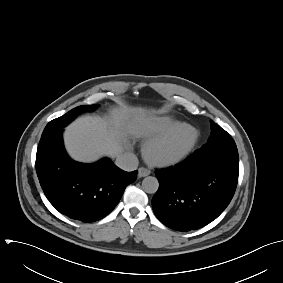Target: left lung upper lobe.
Instances as JSON below:
<instances>
[{
	"label": "left lung upper lobe",
	"mask_w": 283,
	"mask_h": 283,
	"mask_svg": "<svg viewBox=\"0 0 283 283\" xmlns=\"http://www.w3.org/2000/svg\"><path fill=\"white\" fill-rule=\"evenodd\" d=\"M194 154L198 157H214L238 162V151L234 140L213 121H211V135L207 143Z\"/></svg>",
	"instance_id": "1"
}]
</instances>
